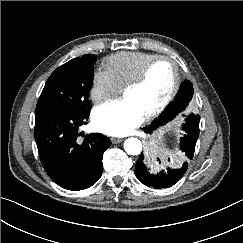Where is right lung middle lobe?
<instances>
[{"mask_svg":"<svg viewBox=\"0 0 243 243\" xmlns=\"http://www.w3.org/2000/svg\"><path fill=\"white\" fill-rule=\"evenodd\" d=\"M92 54L77 57L57 68L47 80L36 110L47 109L74 114L90 112L88 99L93 84Z\"/></svg>","mask_w":243,"mask_h":243,"instance_id":"dd1d6c3e","label":"right lung middle lobe"}]
</instances>
